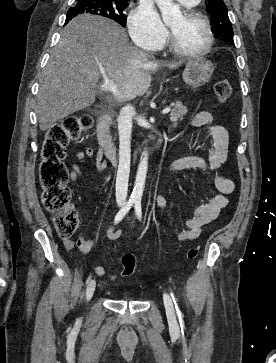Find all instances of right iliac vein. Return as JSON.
<instances>
[{"mask_svg": "<svg viewBox=\"0 0 276 363\" xmlns=\"http://www.w3.org/2000/svg\"><path fill=\"white\" fill-rule=\"evenodd\" d=\"M95 287H96V282L95 280H91L86 288V300L89 301L95 291Z\"/></svg>", "mask_w": 276, "mask_h": 363, "instance_id": "obj_1", "label": "right iliac vein"}]
</instances>
